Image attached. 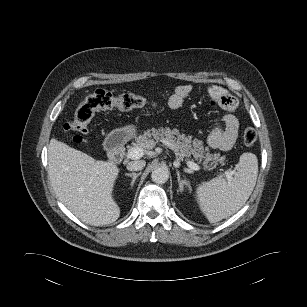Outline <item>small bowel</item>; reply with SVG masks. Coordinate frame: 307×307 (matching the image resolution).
Here are the masks:
<instances>
[{"label":"small bowel","mask_w":307,"mask_h":307,"mask_svg":"<svg viewBox=\"0 0 307 307\" xmlns=\"http://www.w3.org/2000/svg\"><path fill=\"white\" fill-rule=\"evenodd\" d=\"M191 92L192 86L190 84L177 86L168 99V107L171 110L179 109ZM207 92L213 105H219L227 110L234 108V98L226 93L223 88L217 85H210L207 88ZM238 130V119L233 114L228 113L224 115L222 123L209 134L207 139L208 145L212 149L228 151L233 147L237 139Z\"/></svg>","instance_id":"obj_1"}]
</instances>
